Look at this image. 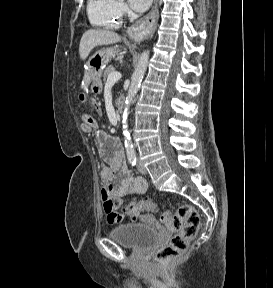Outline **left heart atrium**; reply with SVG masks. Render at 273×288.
Returning <instances> with one entry per match:
<instances>
[{"label":"left heart atrium","instance_id":"1","mask_svg":"<svg viewBox=\"0 0 273 288\" xmlns=\"http://www.w3.org/2000/svg\"><path fill=\"white\" fill-rule=\"evenodd\" d=\"M152 0H129L131 8L136 12L145 11L151 4Z\"/></svg>","mask_w":273,"mask_h":288}]
</instances>
